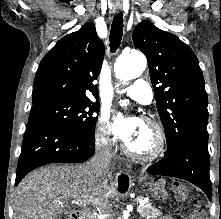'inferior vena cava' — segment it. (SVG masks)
Returning a JSON list of instances; mask_svg holds the SVG:
<instances>
[{
  "label": "inferior vena cava",
  "mask_w": 221,
  "mask_h": 219,
  "mask_svg": "<svg viewBox=\"0 0 221 219\" xmlns=\"http://www.w3.org/2000/svg\"><path fill=\"white\" fill-rule=\"evenodd\" d=\"M112 156L111 143L105 139L98 141L95 148V154L90 160V167L96 176L104 177L108 174Z\"/></svg>",
  "instance_id": "602c4592"
}]
</instances>
